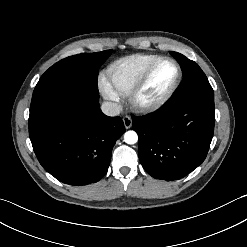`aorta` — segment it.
Returning a JSON list of instances; mask_svg holds the SVG:
<instances>
[{
  "instance_id": "762f6f07",
  "label": "aorta",
  "mask_w": 247,
  "mask_h": 247,
  "mask_svg": "<svg viewBox=\"0 0 247 247\" xmlns=\"http://www.w3.org/2000/svg\"><path fill=\"white\" fill-rule=\"evenodd\" d=\"M124 141L130 145L135 144L138 141L137 133L135 131H127L124 134Z\"/></svg>"
}]
</instances>
